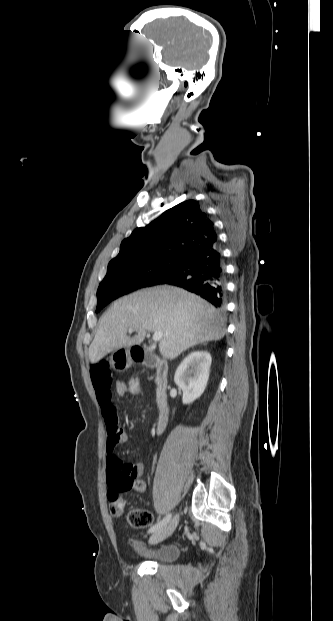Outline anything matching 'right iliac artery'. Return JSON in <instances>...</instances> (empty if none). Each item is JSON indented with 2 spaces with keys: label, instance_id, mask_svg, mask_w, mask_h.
Returning <instances> with one entry per match:
<instances>
[{
  "label": "right iliac artery",
  "instance_id": "82829eb1",
  "mask_svg": "<svg viewBox=\"0 0 333 621\" xmlns=\"http://www.w3.org/2000/svg\"><path fill=\"white\" fill-rule=\"evenodd\" d=\"M171 519V514L166 515L165 518H163L161 521L157 522L155 525H153L148 533H153L157 530H159L160 528H162L163 526H165Z\"/></svg>",
  "mask_w": 333,
  "mask_h": 621
}]
</instances>
